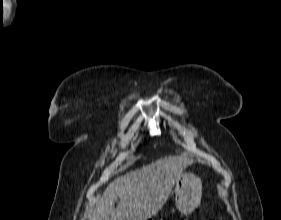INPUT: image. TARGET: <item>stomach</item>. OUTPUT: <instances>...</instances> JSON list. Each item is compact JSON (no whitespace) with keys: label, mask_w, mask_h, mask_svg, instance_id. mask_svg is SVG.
I'll use <instances>...</instances> for the list:
<instances>
[{"label":"stomach","mask_w":281,"mask_h":220,"mask_svg":"<svg viewBox=\"0 0 281 220\" xmlns=\"http://www.w3.org/2000/svg\"><path fill=\"white\" fill-rule=\"evenodd\" d=\"M175 204L182 215L191 214L201 202L202 183L193 173H182L175 182Z\"/></svg>","instance_id":"obj_1"}]
</instances>
